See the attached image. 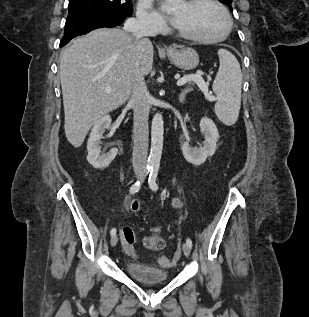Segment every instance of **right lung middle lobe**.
I'll list each match as a JSON object with an SVG mask.
<instances>
[{
  "mask_svg": "<svg viewBox=\"0 0 309 317\" xmlns=\"http://www.w3.org/2000/svg\"><path fill=\"white\" fill-rule=\"evenodd\" d=\"M68 9L102 11L127 17L133 13L131 0H70Z\"/></svg>",
  "mask_w": 309,
  "mask_h": 317,
  "instance_id": "dd1d6c3e",
  "label": "right lung middle lobe"
}]
</instances>
